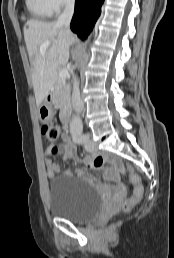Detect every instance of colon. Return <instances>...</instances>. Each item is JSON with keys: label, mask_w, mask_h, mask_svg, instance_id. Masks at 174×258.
Listing matches in <instances>:
<instances>
[{"label": "colon", "mask_w": 174, "mask_h": 258, "mask_svg": "<svg viewBox=\"0 0 174 258\" xmlns=\"http://www.w3.org/2000/svg\"><path fill=\"white\" fill-rule=\"evenodd\" d=\"M41 133L44 141L47 145L52 147L54 153H56L55 145L57 144L61 134L62 128L55 122H46L41 127ZM130 181L132 185V192L129 198L122 203V210L129 211L134 204L139 200L142 193V185L139 176L130 170Z\"/></svg>", "instance_id": "colon-1"}]
</instances>
